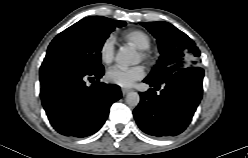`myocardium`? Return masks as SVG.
I'll return each mask as SVG.
<instances>
[{
  "label": "myocardium",
  "instance_id": "f54148a6",
  "mask_svg": "<svg viewBox=\"0 0 248 158\" xmlns=\"http://www.w3.org/2000/svg\"><path fill=\"white\" fill-rule=\"evenodd\" d=\"M140 56L143 60L149 62L150 61V55L147 50H140Z\"/></svg>",
  "mask_w": 248,
  "mask_h": 158
}]
</instances>
